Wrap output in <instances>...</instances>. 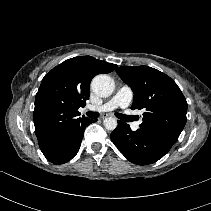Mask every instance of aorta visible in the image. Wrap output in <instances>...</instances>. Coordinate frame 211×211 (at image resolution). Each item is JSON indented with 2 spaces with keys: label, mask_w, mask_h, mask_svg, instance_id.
I'll return each instance as SVG.
<instances>
[{
  "label": "aorta",
  "mask_w": 211,
  "mask_h": 211,
  "mask_svg": "<svg viewBox=\"0 0 211 211\" xmlns=\"http://www.w3.org/2000/svg\"><path fill=\"white\" fill-rule=\"evenodd\" d=\"M93 92L99 97L110 96L114 89V81L108 75H97L91 83ZM104 126L107 130H114L117 127V120L113 117H108L104 120Z\"/></svg>",
  "instance_id": "obj_1"
}]
</instances>
